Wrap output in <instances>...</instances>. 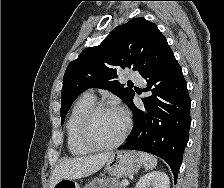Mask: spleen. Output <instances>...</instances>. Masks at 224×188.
I'll use <instances>...</instances> for the list:
<instances>
[{
	"mask_svg": "<svg viewBox=\"0 0 224 188\" xmlns=\"http://www.w3.org/2000/svg\"><path fill=\"white\" fill-rule=\"evenodd\" d=\"M139 157L146 170H152L157 165V158L145 152H139Z\"/></svg>",
	"mask_w": 224,
	"mask_h": 188,
	"instance_id": "spleen-1",
	"label": "spleen"
}]
</instances>
